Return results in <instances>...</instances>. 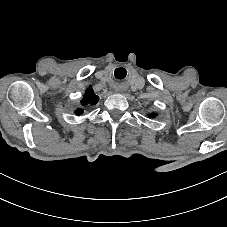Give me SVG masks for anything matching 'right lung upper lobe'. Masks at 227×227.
I'll return each mask as SVG.
<instances>
[{
	"label": "right lung upper lobe",
	"instance_id": "right-lung-upper-lobe-1",
	"mask_svg": "<svg viewBox=\"0 0 227 227\" xmlns=\"http://www.w3.org/2000/svg\"><path fill=\"white\" fill-rule=\"evenodd\" d=\"M99 97L94 94L92 89H87L84 95V98L81 101L83 106L85 105H94L98 102ZM77 115H81L83 113V109H77L75 112Z\"/></svg>",
	"mask_w": 227,
	"mask_h": 227
}]
</instances>
